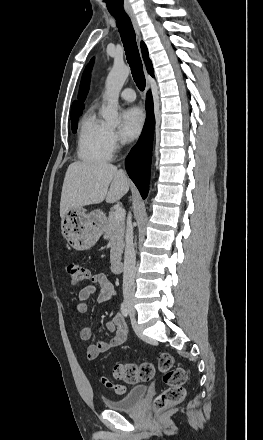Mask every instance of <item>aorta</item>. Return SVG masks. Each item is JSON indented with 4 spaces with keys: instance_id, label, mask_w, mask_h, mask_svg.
I'll return each mask as SVG.
<instances>
[{
    "instance_id": "762f6f07",
    "label": "aorta",
    "mask_w": 263,
    "mask_h": 440,
    "mask_svg": "<svg viewBox=\"0 0 263 440\" xmlns=\"http://www.w3.org/2000/svg\"><path fill=\"white\" fill-rule=\"evenodd\" d=\"M129 73L130 68L128 66L115 63L107 76L105 93L103 95L107 105L102 111V116L110 125H117L119 123V94Z\"/></svg>"
}]
</instances>
